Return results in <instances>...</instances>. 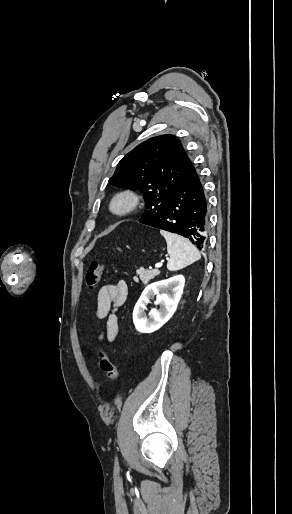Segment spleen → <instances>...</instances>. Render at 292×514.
Masks as SVG:
<instances>
[{
    "label": "spleen",
    "mask_w": 292,
    "mask_h": 514,
    "mask_svg": "<svg viewBox=\"0 0 292 514\" xmlns=\"http://www.w3.org/2000/svg\"><path fill=\"white\" fill-rule=\"evenodd\" d=\"M160 234L164 236L167 242V252L170 256L167 264L169 272H177V270H182V268H186V266H190L193 262L200 260L199 250L191 242H188L186 238L177 236V234H170V232H164V230H160Z\"/></svg>",
    "instance_id": "spleen-1"
}]
</instances>
